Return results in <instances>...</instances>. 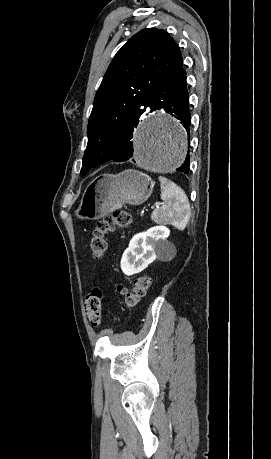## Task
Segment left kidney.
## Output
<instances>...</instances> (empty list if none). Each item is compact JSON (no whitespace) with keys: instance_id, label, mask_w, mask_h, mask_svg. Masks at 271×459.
<instances>
[{"instance_id":"obj_1","label":"left kidney","mask_w":271,"mask_h":459,"mask_svg":"<svg viewBox=\"0 0 271 459\" xmlns=\"http://www.w3.org/2000/svg\"><path fill=\"white\" fill-rule=\"evenodd\" d=\"M167 235V228L164 226H155L133 235L121 257V269L126 275L139 273L152 263L157 257L158 247L163 243Z\"/></svg>"}]
</instances>
